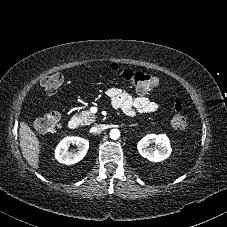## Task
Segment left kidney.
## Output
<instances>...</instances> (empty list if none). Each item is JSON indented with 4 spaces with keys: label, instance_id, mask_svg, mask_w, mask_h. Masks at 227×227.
I'll list each match as a JSON object with an SVG mask.
<instances>
[{
    "label": "left kidney",
    "instance_id": "5707ae66",
    "mask_svg": "<svg viewBox=\"0 0 227 227\" xmlns=\"http://www.w3.org/2000/svg\"><path fill=\"white\" fill-rule=\"evenodd\" d=\"M153 143L157 145L156 149L150 147ZM137 149L142 157L152 162L163 161L168 158L172 152L170 141L165 134L146 135L138 142Z\"/></svg>",
    "mask_w": 227,
    "mask_h": 227
}]
</instances>
